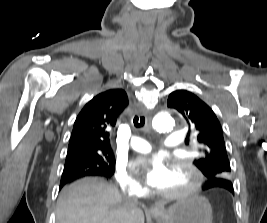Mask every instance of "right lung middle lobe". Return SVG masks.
Here are the masks:
<instances>
[{"label": "right lung middle lobe", "mask_w": 267, "mask_h": 223, "mask_svg": "<svg viewBox=\"0 0 267 223\" xmlns=\"http://www.w3.org/2000/svg\"><path fill=\"white\" fill-rule=\"evenodd\" d=\"M115 169L113 153H92L81 157L66 158L64 172L80 171L90 175L110 177Z\"/></svg>", "instance_id": "1"}]
</instances>
